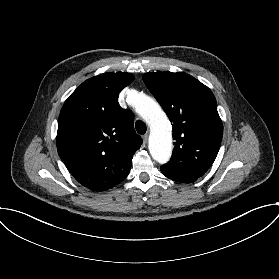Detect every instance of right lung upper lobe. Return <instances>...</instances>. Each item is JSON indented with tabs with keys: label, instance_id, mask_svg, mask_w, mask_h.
<instances>
[{
	"label": "right lung upper lobe",
	"instance_id": "right-lung-upper-lobe-1",
	"mask_svg": "<svg viewBox=\"0 0 279 279\" xmlns=\"http://www.w3.org/2000/svg\"><path fill=\"white\" fill-rule=\"evenodd\" d=\"M134 76L104 73L82 83L60 112L57 151L72 176L84 187L104 191L129 174L142 139L134 116L118 103L120 91Z\"/></svg>",
	"mask_w": 279,
	"mask_h": 279
}]
</instances>
